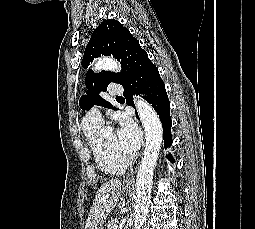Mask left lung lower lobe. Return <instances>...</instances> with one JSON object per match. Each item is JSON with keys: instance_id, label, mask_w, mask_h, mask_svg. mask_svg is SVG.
Wrapping results in <instances>:
<instances>
[{"instance_id": "obj_1", "label": "left lung lower lobe", "mask_w": 255, "mask_h": 229, "mask_svg": "<svg viewBox=\"0 0 255 229\" xmlns=\"http://www.w3.org/2000/svg\"><path fill=\"white\" fill-rule=\"evenodd\" d=\"M123 87V95L128 105L134 107L132 99L134 94H142V97L152 105L162 122L165 148L170 147L172 144L170 102L158 68L148 58L147 53L142 55L135 70ZM167 157L172 163L174 162L170 154Z\"/></svg>"}]
</instances>
